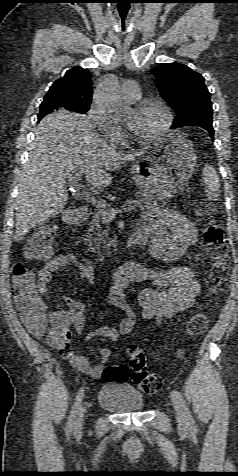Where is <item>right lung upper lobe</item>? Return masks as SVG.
<instances>
[{"label":"right lung upper lobe","mask_w":238,"mask_h":476,"mask_svg":"<svg viewBox=\"0 0 238 476\" xmlns=\"http://www.w3.org/2000/svg\"><path fill=\"white\" fill-rule=\"evenodd\" d=\"M91 74L75 66L63 78L56 80L43 102L56 104L58 109L73 111L77 106H89L92 100Z\"/></svg>","instance_id":"right-lung-upper-lobe-1"}]
</instances>
